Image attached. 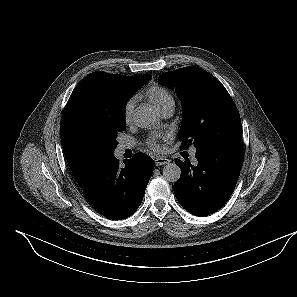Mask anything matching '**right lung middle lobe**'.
I'll use <instances>...</instances> for the list:
<instances>
[{"label": "right lung middle lobe", "mask_w": 297, "mask_h": 297, "mask_svg": "<svg viewBox=\"0 0 297 297\" xmlns=\"http://www.w3.org/2000/svg\"><path fill=\"white\" fill-rule=\"evenodd\" d=\"M135 92L132 91L128 99ZM125 106L126 103L113 110L90 109L79 115L74 125L75 141L82 153L95 163L103 164L113 157L117 134L126 128Z\"/></svg>", "instance_id": "dd1d6c3e"}]
</instances>
